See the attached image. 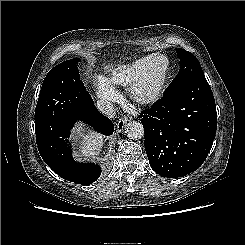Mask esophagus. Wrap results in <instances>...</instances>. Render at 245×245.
<instances>
[{
    "label": "esophagus",
    "instance_id": "obj_1",
    "mask_svg": "<svg viewBox=\"0 0 245 245\" xmlns=\"http://www.w3.org/2000/svg\"><path fill=\"white\" fill-rule=\"evenodd\" d=\"M130 120L127 118H121L117 124H116V131L117 133H120L123 131L124 126L129 122Z\"/></svg>",
    "mask_w": 245,
    "mask_h": 245
}]
</instances>
